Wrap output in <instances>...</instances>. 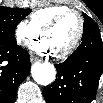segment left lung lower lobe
Returning a JSON list of instances; mask_svg holds the SVG:
<instances>
[{
  "instance_id": "0a47b994",
  "label": "left lung lower lobe",
  "mask_w": 103,
  "mask_h": 103,
  "mask_svg": "<svg viewBox=\"0 0 103 103\" xmlns=\"http://www.w3.org/2000/svg\"><path fill=\"white\" fill-rule=\"evenodd\" d=\"M56 80L44 88L47 103H90L103 74V42L98 27L87 29L79 47L55 65Z\"/></svg>"
}]
</instances>
